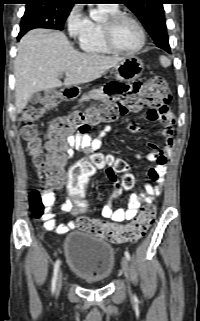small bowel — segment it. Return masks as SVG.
I'll return each instance as SVG.
<instances>
[{"label":"small bowel","instance_id":"obj_1","mask_svg":"<svg viewBox=\"0 0 200 321\" xmlns=\"http://www.w3.org/2000/svg\"><path fill=\"white\" fill-rule=\"evenodd\" d=\"M103 90L91 96L92 99H104V104L111 105L121 102L123 96L125 98H134L136 90H143V83L123 82V80H114V82L104 83ZM146 119L149 121H162L165 125L163 129V136L165 137L164 147H159L156 144H150L152 151L147 155V159L154 162L155 165L149 169L148 175L150 180L155 181L145 183V193L137 194L131 193L128 197V204L126 209H114L111 204H107L102 208L101 214L104 218L110 219L114 223H121L123 221H130L134 219L138 213V209L142 204H151L153 200L160 194L161 186L165 181V174L167 171V161L170 154L173 142L172 133V115L167 110L163 109H150L146 113ZM131 131H136L137 127L130 125ZM111 128L104 127L96 137L88 134H70L66 137L65 142L67 145L66 160L74 150H80L88 154L101 155L109 163L106 169L108 179L115 185H120V179L117 176V171L113 166L115 159L111 155H103L100 153L102 141L109 134ZM140 159L139 156H137ZM65 185V179L56 181L53 186L45 191L42 195L43 202L48 208V212L41 218L43 227L47 231H53L57 234H65L70 230L78 228L77 222L71 221L67 224H57L54 214L51 212V207L56 200L55 190L60 189ZM63 212L73 211L71 198L66 200L61 205Z\"/></svg>","mask_w":200,"mask_h":321}]
</instances>
